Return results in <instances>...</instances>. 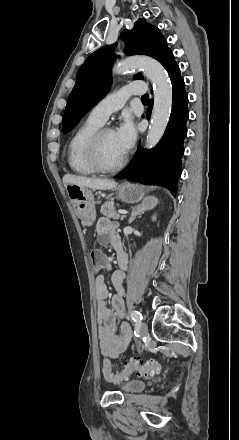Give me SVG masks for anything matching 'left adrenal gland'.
Instances as JSON below:
<instances>
[{
	"mask_svg": "<svg viewBox=\"0 0 239 440\" xmlns=\"http://www.w3.org/2000/svg\"><path fill=\"white\" fill-rule=\"evenodd\" d=\"M146 210H148L145 202L144 204H141V206H138V208H132V212H131V216L128 220L129 224H131V222H133V220H135L136 216H141V214H144V212H146Z\"/></svg>",
	"mask_w": 239,
	"mask_h": 440,
	"instance_id": "obj_1",
	"label": "left adrenal gland"
}]
</instances>
